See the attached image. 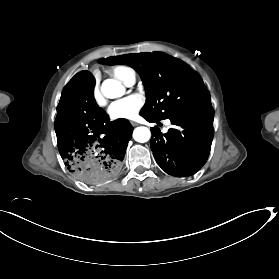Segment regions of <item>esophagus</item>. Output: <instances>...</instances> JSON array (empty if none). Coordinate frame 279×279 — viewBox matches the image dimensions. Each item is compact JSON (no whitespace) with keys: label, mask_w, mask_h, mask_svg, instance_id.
Here are the masks:
<instances>
[{"label":"esophagus","mask_w":279,"mask_h":279,"mask_svg":"<svg viewBox=\"0 0 279 279\" xmlns=\"http://www.w3.org/2000/svg\"><path fill=\"white\" fill-rule=\"evenodd\" d=\"M131 124H132L133 126H137V125H138V123L135 122V121H131Z\"/></svg>","instance_id":"34e87169"}]
</instances>
